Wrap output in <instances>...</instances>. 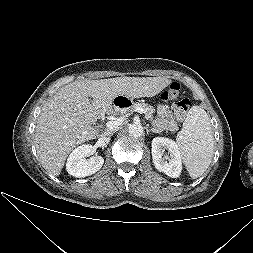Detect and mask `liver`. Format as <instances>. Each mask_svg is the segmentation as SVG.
<instances>
[{
  "label": "liver",
  "mask_w": 253,
  "mask_h": 253,
  "mask_svg": "<svg viewBox=\"0 0 253 253\" xmlns=\"http://www.w3.org/2000/svg\"><path fill=\"white\" fill-rule=\"evenodd\" d=\"M170 83L162 77H117L76 81L60 88L37 118L34 143L40 163L50 175H60L69 153L98 137L92 125L111 111L116 96L153 97Z\"/></svg>",
  "instance_id": "liver-1"
}]
</instances>
